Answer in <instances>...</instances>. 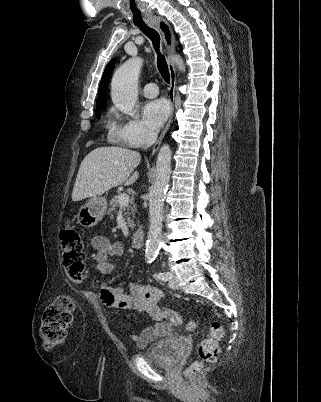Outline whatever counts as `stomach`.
Returning <instances> with one entry per match:
<instances>
[{
  "label": "stomach",
  "instance_id": "1",
  "mask_svg": "<svg viewBox=\"0 0 321 402\" xmlns=\"http://www.w3.org/2000/svg\"><path fill=\"white\" fill-rule=\"evenodd\" d=\"M107 211V200L102 196H93L79 208L77 223L84 227L98 224Z\"/></svg>",
  "mask_w": 321,
  "mask_h": 402
}]
</instances>
